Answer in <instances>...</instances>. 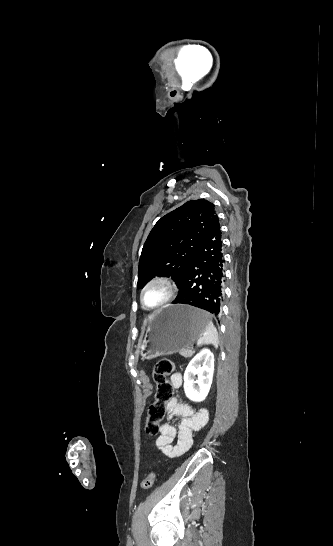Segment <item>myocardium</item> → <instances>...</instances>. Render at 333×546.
<instances>
[{
  "instance_id": "f54148a6",
  "label": "myocardium",
  "mask_w": 333,
  "mask_h": 546,
  "mask_svg": "<svg viewBox=\"0 0 333 546\" xmlns=\"http://www.w3.org/2000/svg\"><path fill=\"white\" fill-rule=\"evenodd\" d=\"M154 284H161V285L165 286V288L168 291V294H167V297L160 304L151 307V306H148L146 304L145 292L150 286H152ZM176 292H177V286H176L175 282L170 277H168L166 275H156V276L152 277L151 279H149L146 282V284L143 286V288L141 289L140 301H141V304L147 309H152V310L159 309V308H162L165 305H167L174 298Z\"/></svg>"
}]
</instances>
